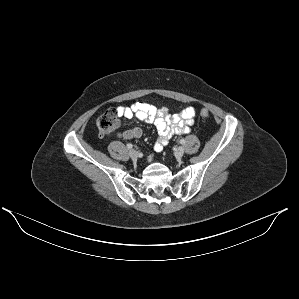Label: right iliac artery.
<instances>
[{
  "instance_id": "right-iliac-artery-1",
  "label": "right iliac artery",
  "mask_w": 299,
  "mask_h": 299,
  "mask_svg": "<svg viewBox=\"0 0 299 299\" xmlns=\"http://www.w3.org/2000/svg\"><path fill=\"white\" fill-rule=\"evenodd\" d=\"M132 147H133V145H132V144H130V143H129V144H127V148H128V149H131Z\"/></svg>"
}]
</instances>
